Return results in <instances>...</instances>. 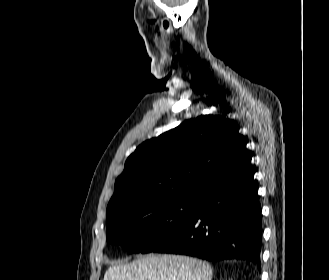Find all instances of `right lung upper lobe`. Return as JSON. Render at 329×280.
I'll return each instance as SVG.
<instances>
[{
    "mask_svg": "<svg viewBox=\"0 0 329 280\" xmlns=\"http://www.w3.org/2000/svg\"><path fill=\"white\" fill-rule=\"evenodd\" d=\"M233 120L201 115L137 147L115 182L108 207L150 196L201 197L251 160Z\"/></svg>",
    "mask_w": 329,
    "mask_h": 280,
    "instance_id": "right-lung-upper-lobe-1",
    "label": "right lung upper lobe"
}]
</instances>
